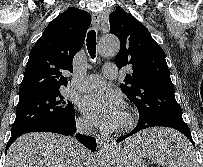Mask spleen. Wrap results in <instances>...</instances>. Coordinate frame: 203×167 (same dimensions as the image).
Wrapping results in <instances>:
<instances>
[{
    "label": "spleen",
    "instance_id": "obj_1",
    "mask_svg": "<svg viewBox=\"0 0 203 167\" xmlns=\"http://www.w3.org/2000/svg\"><path fill=\"white\" fill-rule=\"evenodd\" d=\"M149 147L138 148V153L166 167H197L194 154L189 143L179 135L158 132L147 141Z\"/></svg>",
    "mask_w": 203,
    "mask_h": 167
}]
</instances>
